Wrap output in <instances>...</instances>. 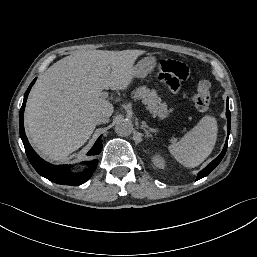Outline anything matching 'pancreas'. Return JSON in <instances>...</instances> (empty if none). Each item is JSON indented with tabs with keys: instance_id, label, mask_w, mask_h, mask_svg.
<instances>
[{
	"instance_id": "1",
	"label": "pancreas",
	"mask_w": 257,
	"mask_h": 257,
	"mask_svg": "<svg viewBox=\"0 0 257 257\" xmlns=\"http://www.w3.org/2000/svg\"><path fill=\"white\" fill-rule=\"evenodd\" d=\"M132 94L133 98L141 100L146 105V109L154 116H158L161 119L168 116L167 106L161 102L155 90H150L146 86H140Z\"/></svg>"
}]
</instances>
